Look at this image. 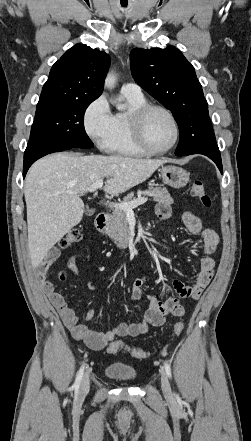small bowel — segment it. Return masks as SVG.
Returning <instances> with one entry per match:
<instances>
[{"instance_id": "1", "label": "small bowel", "mask_w": 251, "mask_h": 441, "mask_svg": "<svg viewBox=\"0 0 251 441\" xmlns=\"http://www.w3.org/2000/svg\"><path fill=\"white\" fill-rule=\"evenodd\" d=\"M156 215L161 220L168 219L171 215L170 207L164 203L158 204L156 207ZM182 221L189 232L202 237L203 252L205 255L200 259L199 272L192 285H186L175 279L172 281V286L180 298L194 301L199 299L213 278L215 261L210 257V254L216 250L219 238L213 229L204 228L201 219L189 211L183 213ZM59 255L60 252L58 249L51 250L47 256L36 265L35 274L42 291L57 309L64 325L74 339L84 343L90 349L101 350L108 344L110 345L117 337L139 336L146 333L150 327L161 326L165 322L167 315L172 314L176 317H181L185 313V307L178 297H169L166 300H159L156 296L149 294L147 295L149 304L140 322L121 323L106 332H100L84 324H80L74 309L68 305L66 298L55 290L50 281L46 280L48 268L57 260ZM68 268L73 273H77L78 266L75 256H72L68 260ZM147 281L148 278L146 276L138 277L133 281L130 290V295L133 300L138 301L142 298V288ZM93 316L94 310L89 309L86 314V320L90 321Z\"/></svg>"}]
</instances>
